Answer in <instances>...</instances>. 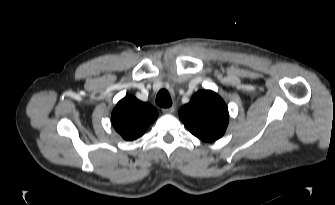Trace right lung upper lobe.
I'll use <instances>...</instances> for the list:
<instances>
[{
  "instance_id": "right-lung-upper-lobe-1",
  "label": "right lung upper lobe",
  "mask_w": 335,
  "mask_h": 205,
  "mask_svg": "<svg viewBox=\"0 0 335 205\" xmlns=\"http://www.w3.org/2000/svg\"><path fill=\"white\" fill-rule=\"evenodd\" d=\"M157 116V110L149 103L141 102L133 96H126L112 111L111 121L115 130L125 140H134L145 133Z\"/></svg>"
}]
</instances>
